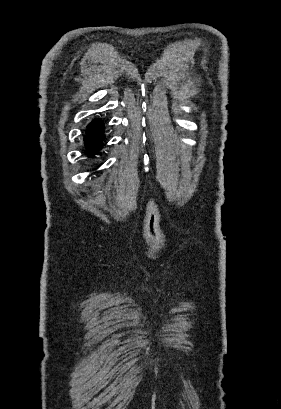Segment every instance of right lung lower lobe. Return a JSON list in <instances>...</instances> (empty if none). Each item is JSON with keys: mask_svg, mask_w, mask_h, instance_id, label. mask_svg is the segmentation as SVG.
<instances>
[{"mask_svg": "<svg viewBox=\"0 0 281 409\" xmlns=\"http://www.w3.org/2000/svg\"><path fill=\"white\" fill-rule=\"evenodd\" d=\"M104 121L98 118L93 119L86 127L83 134L85 152L90 156L98 153L103 146Z\"/></svg>", "mask_w": 281, "mask_h": 409, "instance_id": "right-lung-lower-lobe-1", "label": "right lung lower lobe"}]
</instances>
